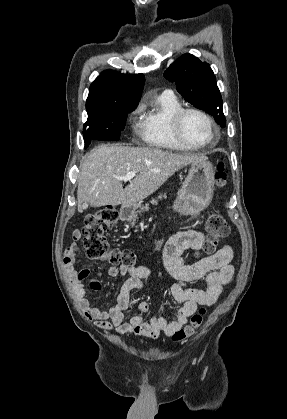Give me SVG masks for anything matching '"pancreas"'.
Returning <instances> with one entry per match:
<instances>
[{
  "instance_id": "cf45deb5",
  "label": "pancreas",
  "mask_w": 287,
  "mask_h": 419,
  "mask_svg": "<svg viewBox=\"0 0 287 419\" xmlns=\"http://www.w3.org/2000/svg\"><path fill=\"white\" fill-rule=\"evenodd\" d=\"M163 197H166V194H160L158 197L152 198L151 201H150V204H153V205L157 204L158 200H161ZM150 204L147 203L143 206H140V211L139 212L147 211L149 209Z\"/></svg>"
}]
</instances>
